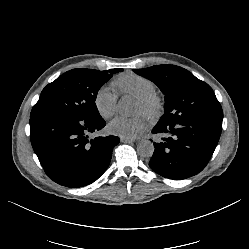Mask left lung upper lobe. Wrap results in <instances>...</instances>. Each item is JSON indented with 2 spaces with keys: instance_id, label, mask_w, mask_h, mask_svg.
Instances as JSON below:
<instances>
[{
  "instance_id": "5c2ea615",
  "label": "left lung upper lobe",
  "mask_w": 249,
  "mask_h": 249,
  "mask_svg": "<svg viewBox=\"0 0 249 249\" xmlns=\"http://www.w3.org/2000/svg\"><path fill=\"white\" fill-rule=\"evenodd\" d=\"M133 71L154 82L165 95V112L159 124L183 119L223 118L212 88L188 70L175 65H157Z\"/></svg>"
}]
</instances>
